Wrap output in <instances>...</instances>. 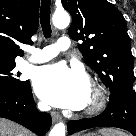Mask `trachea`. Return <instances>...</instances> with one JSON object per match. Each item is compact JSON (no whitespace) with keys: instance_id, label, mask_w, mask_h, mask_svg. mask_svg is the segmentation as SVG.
<instances>
[{"instance_id":"trachea-1","label":"trachea","mask_w":136,"mask_h":136,"mask_svg":"<svg viewBox=\"0 0 136 136\" xmlns=\"http://www.w3.org/2000/svg\"><path fill=\"white\" fill-rule=\"evenodd\" d=\"M50 5L51 0H41L40 23L45 38H49L52 32L50 25Z\"/></svg>"}]
</instances>
